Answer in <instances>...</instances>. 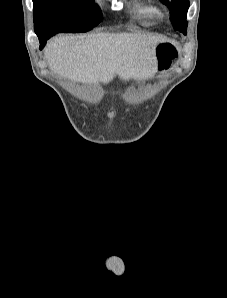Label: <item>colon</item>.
I'll return each mask as SVG.
<instances>
[{"instance_id": "colon-1", "label": "colon", "mask_w": 227, "mask_h": 298, "mask_svg": "<svg viewBox=\"0 0 227 298\" xmlns=\"http://www.w3.org/2000/svg\"><path fill=\"white\" fill-rule=\"evenodd\" d=\"M158 67L160 70L168 69L177 58L178 52L174 44L170 42L160 43L156 49Z\"/></svg>"}]
</instances>
